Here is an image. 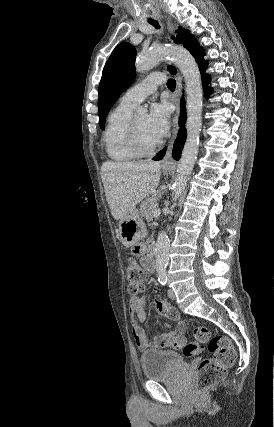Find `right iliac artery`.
<instances>
[{
    "instance_id": "obj_1",
    "label": "right iliac artery",
    "mask_w": 274,
    "mask_h": 427,
    "mask_svg": "<svg viewBox=\"0 0 274 427\" xmlns=\"http://www.w3.org/2000/svg\"><path fill=\"white\" fill-rule=\"evenodd\" d=\"M165 282H161L162 285H164Z\"/></svg>"
}]
</instances>
